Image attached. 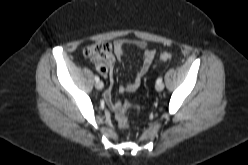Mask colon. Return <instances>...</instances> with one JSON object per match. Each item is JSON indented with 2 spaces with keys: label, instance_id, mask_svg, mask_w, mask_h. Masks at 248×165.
I'll list each match as a JSON object with an SVG mask.
<instances>
[{
  "label": "colon",
  "instance_id": "obj_1",
  "mask_svg": "<svg viewBox=\"0 0 248 165\" xmlns=\"http://www.w3.org/2000/svg\"><path fill=\"white\" fill-rule=\"evenodd\" d=\"M84 56L92 60L96 68L100 72H104L110 69L113 62L112 46L108 42H98L87 46L84 49ZM172 57L171 53L163 52L160 55V60L167 61ZM112 107L116 111V121L121 129H127L129 122L127 118V112L131 109H139V106H134L129 102H113L110 101Z\"/></svg>",
  "mask_w": 248,
  "mask_h": 165
}]
</instances>
